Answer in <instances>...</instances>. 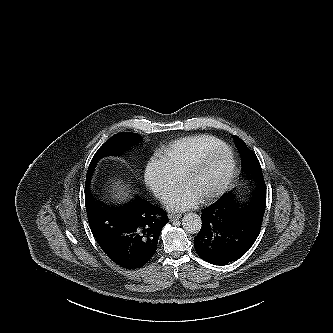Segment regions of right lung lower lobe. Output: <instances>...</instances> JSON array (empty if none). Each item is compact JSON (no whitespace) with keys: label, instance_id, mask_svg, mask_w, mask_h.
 I'll list each match as a JSON object with an SVG mask.
<instances>
[{"label":"right lung lower lobe","instance_id":"98d812e1","mask_svg":"<svg viewBox=\"0 0 333 333\" xmlns=\"http://www.w3.org/2000/svg\"><path fill=\"white\" fill-rule=\"evenodd\" d=\"M84 192L89 226L102 250L126 269L144 266L156 252L166 213L139 196L107 205L94 199L86 183Z\"/></svg>","mask_w":333,"mask_h":333}]
</instances>
